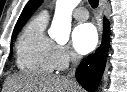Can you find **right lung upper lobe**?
<instances>
[{
  "instance_id": "obj_1",
  "label": "right lung upper lobe",
  "mask_w": 127,
  "mask_h": 92,
  "mask_svg": "<svg viewBox=\"0 0 127 92\" xmlns=\"http://www.w3.org/2000/svg\"><path fill=\"white\" fill-rule=\"evenodd\" d=\"M41 2L42 0H30L27 3V5L25 6L23 12L21 13L16 23L13 34L18 32L22 28V26L25 24L28 18L32 15V13L38 8Z\"/></svg>"
}]
</instances>
